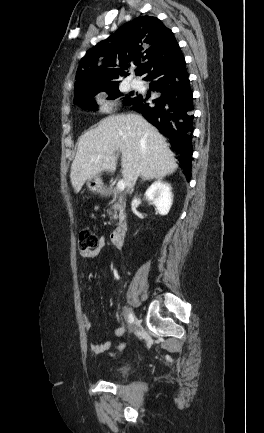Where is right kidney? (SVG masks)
<instances>
[{
  "label": "right kidney",
  "instance_id": "1",
  "mask_svg": "<svg viewBox=\"0 0 264 433\" xmlns=\"http://www.w3.org/2000/svg\"><path fill=\"white\" fill-rule=\"evenodd\" d=\"M146 198L153 202L160 215H167L173 201L171 187L162 181L154 182L145 192Z\"/></svg>",
  "mask_w": 264,
  "mask_h": 433
}]
</instances>
